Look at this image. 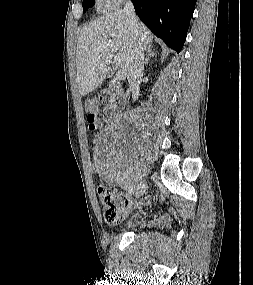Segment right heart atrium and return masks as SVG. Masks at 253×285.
I'll return each mask as SVG.
<instances>
[{
  "mask_svg": "<svg viewBox=\"0 0 253 285\" xmlns=\"http://www.w3.org/2000/svg\"><path fill=\"white\" fill-rule=\"evenodd\" d=\"M124 0H100L102 5L108 9L117 8L122 4Z\"/></svg>",
  "mask_w": 253,
  "mask_h": 285,
  "instance_id": "1",
  "label": "right heart atrium"
}]
</instances>
